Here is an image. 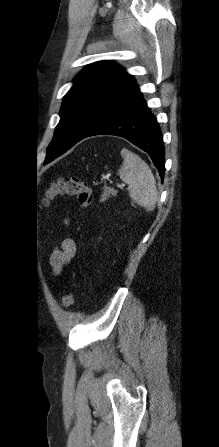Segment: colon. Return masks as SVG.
<instances>
[{
  "label": "colon",
  "instance_id": "obj_1",
  "mask_svg": "<svg viewBox=\"0 0 219 447\" xmlns=\"http://www.w3.org/2000/svg\"><path fill=\"white\" fill-rule=\"evenodd\" d=\"M45 200L48 202L57 197H75L83 207H88L93 199L92 189L77 177L61 178L46 188ZM75 302V293L68 291L62 298V306L71 307Z\"/></svg>",
  "mask_w": 219,
  "mask_h": 447
}]
</instances>
